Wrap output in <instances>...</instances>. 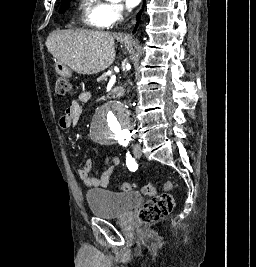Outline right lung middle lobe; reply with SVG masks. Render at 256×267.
<instances>
[{
	"mask_svg": "<svg viewBox=\"0 0 256 267\" xmlns=\"http://www.w3.org/2000/svg\"><path fill=\"white\" fill-rule=\"evenodd\" d=\"M69 2L70 0L62 2L59 13H64L66 11V9L69 7Z\"/></svg>",
	"mask_w": 256,
	"mask_h": 267,
	"instance_id": "dd1d6c3e",
	"label": "right lung middle lobe"
}]
</instances>
